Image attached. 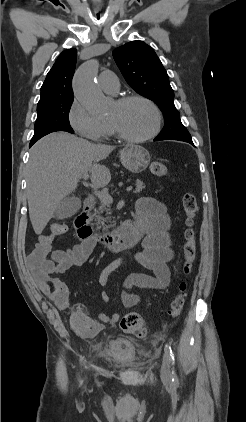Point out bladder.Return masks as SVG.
Returning a JSON list of instances; mask_svg holds the SVG:
<instances>
[{"label": "bladder", "mask_w": 246, "mask_h": 422, "mask_svg": "<svg viewBox=\"0 0 246 422\" xmlns=\"http://www.w3.org/2000/svg\"><path fill=\"white\" fill-rule=\"evenodd\" d=\"M104 357L129 367L139 364L137 348L122 338H112L107 342Z\"/></svg>", "instance_id": "31cf9c89"}]
</instances>
